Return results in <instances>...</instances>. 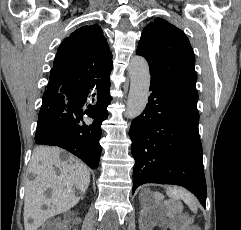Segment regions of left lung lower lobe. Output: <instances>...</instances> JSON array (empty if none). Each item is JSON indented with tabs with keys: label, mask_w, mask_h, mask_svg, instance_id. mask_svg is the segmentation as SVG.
I'll list each match as a JSON object with an SVG mask.
<instances>
[{
	"label": "left lung lower lobe",
	"mask_w": 241,
	"mask_h": 230,
	"mask_svg": "<svg viewBox=\"0 0 241 230\" xmlns=\"http://www.w3.org/2000/svg\"><path fill=\"white\" fill-rule=\"evenodd\" d=\"M148 104L130 127L135 159L133 189L145 183L187 188L206 206L202 144L198 133V93L151 77Z\"/></svg>",
	"instance_id": "obj_1"
}]
</instances>
